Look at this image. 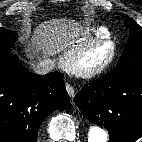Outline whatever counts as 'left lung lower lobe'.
Instances as JSON below:
<instances>
[{"mask_svg":"<svg viewBox=\"0 0 142 142\" xmlns=\"http://www.w3.org/2000/svg\"><path fill=\"white\" fill-rule=\"evenodd\" d=\"M75 104L88 120L109 131V142L135 141L142 135V70L109 72L89 82Z\"/></svg>","mask_w":142,"mask_h":142,"instance_id":"1","label":"left lung lower lobe"}]
</instances>
